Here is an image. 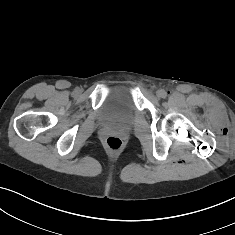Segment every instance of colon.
I'll return each instance as SVG.
<instances>
[{"instance_id":"obj_1","label":"colon","mask_w":235,"mask_h":235,"mask_svg":"<svg viewBox=\"0 0 235 235\" xmlns=\"http://www.w3.org/2000/svg\"><path fill=\"white\" fill-rule=\"evenodd\" d=\"M105 145L111 152H118L122 149L123 142L118 136L112 135L107 137Z\"/></svg>"}]
</instances>
